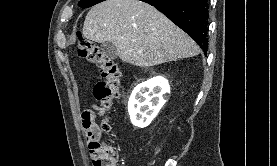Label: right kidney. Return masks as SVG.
<instances>
[{
    "instance_id": "1",
    "label": "right kidney",
    "mask_w": 277,
    "mask_h": 166,
    "mask_svg": "<svg viewBox=\"0 0 277 166\" xmlns=\"http://www.w3.org/2000/svg\"><path fill=\"white\" fill-rule=\"evenodd\" d=\"M169 92V83L161 76L137 85L128 102L132 124L140 128L148 126L166 103Z\"/></svg>"
}]
</instances>
